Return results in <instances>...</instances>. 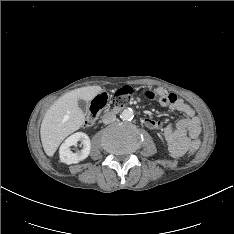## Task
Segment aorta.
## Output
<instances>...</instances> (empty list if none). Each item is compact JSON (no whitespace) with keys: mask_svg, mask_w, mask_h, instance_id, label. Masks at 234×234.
Returning a JSON list of instances; mask_svg holds the SVG:
<instances>
[{"mask_svg":"<svg viewBox=\"0 0 234 234\" xmlns=\"http://www.w3.org/2000/svg\"><path fill=\"white\" fill-rule=\"evenodd\" d=\"M134 117V113L133 110L128 108L122 111V113L120 114V118L124 121H129L132 120Z\"/></svg>","mask_w":234,"mask_h":234,"instance_id":"1","label":"aorta"}]
</instances>
